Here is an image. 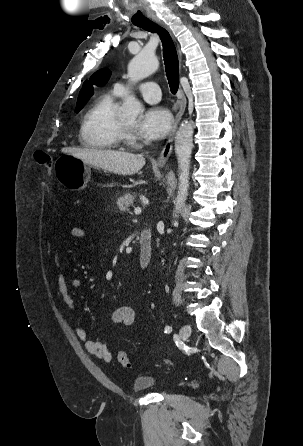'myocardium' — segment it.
I'll list each match as a JSON object with an SVG mask.
<instances>
[{"instance_id":"obj_1","label":"myocardium","mask_w":303,"mask_h":446,"mask_svg":"<svg viewBox=\"0 0 303 446\" xmlns=\"http://www.w3.org/2000/svg\"><path fill=\"white\" fill-rule=\"evenodd\" d=\"M121 129H122L123 139H124L129 135L130 127H128L123 121H121Z\"/></svg>"}]
</instances>
